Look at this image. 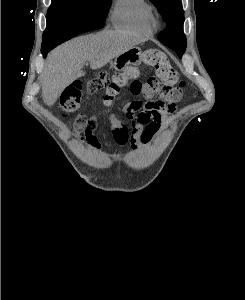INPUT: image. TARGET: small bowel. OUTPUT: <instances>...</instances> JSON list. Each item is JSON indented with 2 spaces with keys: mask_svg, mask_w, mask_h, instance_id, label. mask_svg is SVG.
<instances>
[{
  "mask_svg": "<svg viewBox=\"0 0 245 300\" xmlns=\"http://www.w3.org/2000/svg\"><path fill=\"white\" fill-rule=\"evenodd\" d=\"M131 93L142 95L143 100H134L140 102L138 108L133 106L134 101L125 105L124 112L130 125L127 126L114 114H110L108 119L115 142L120 146L130 144L134 150H139L155 139L168 117L175 112L176 106L172 102L154 100V93L147 84L141 82L139 89ZM96 128L95 117L87 118L81 115L75 121L73 132L79 140L85 141L94 149H99V140L94 135Z\"/></svg>",
  "mask_w": 245,
  "mask_h": 300,
  "instance_id": "c3829d8e",
  "label": "small bowel"
}]
</instances>
